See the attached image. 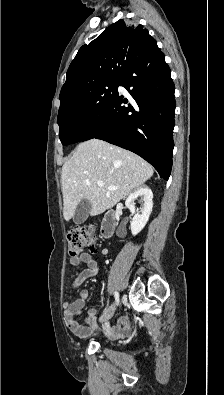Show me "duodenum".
Wrapping results in <instances>:
<instances>
[{
	"label": "duodenum",
	"mask_w": 224,
	"mask_h": 395,
	"mask_svg": "<svg viewBox=\"0 0 224 395\" xmlns=\"http://www.w3.org/2000/svg\"><path fill=\"white\" fill-rule=\"evenodd\" d=\"M117 212L109 210L104 214L101 223V234L104 238H111L114 235L117 224Z\"/></svg>",
	"instance_id": "1"
}]
</instances>
